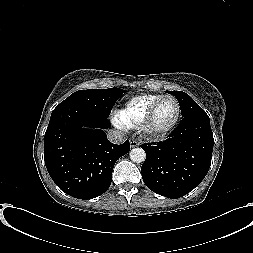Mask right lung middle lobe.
Segmentation results:
<instances>
[{
	"label": "right lung middle lobe",
	"mask_w": 253,
	"mask_h": 253,
	"mask_svg": "<svg viewBox=\"0 0 253 253\" xmlns=\"http://www.w3.org/2000/svg\"><path fill=\"white\" fill-rule=\"evenodd\" d=\"M123 94L120 88L79 90L71 94L57 107L81 106L108 117L113 105Z\"/></svg>",
	"instance_id": "right-lung-middle-lobe-1"
}]
</instances>
